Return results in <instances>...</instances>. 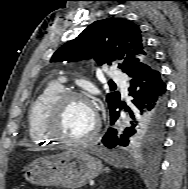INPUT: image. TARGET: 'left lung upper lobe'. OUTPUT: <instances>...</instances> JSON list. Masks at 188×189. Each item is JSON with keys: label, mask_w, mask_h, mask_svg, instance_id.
<instances>
[{"label": "left lung upper lobe", "mask_w": 188, "mask_h": 189, "mask_svg": "<svg viewBox=\"0 0 188 189\" xmlns=\"http://www.w3.org/2000/svg\"><path fill=\"white\" fill-rule=\"evenodd\" d=\"M94 58L99 65L111 64L116 58L124 73L154 59L141 30L134 23L122 18H106L89 25L77 38L65 43L53 55L52 61H77ZM109 109L120 102L119 92L106 97ZM164 124L158 127L139 126L130 137L128 148L146 146L152 152L162 142Z\"/></svg>", "instance_id": "left-lung-upper-lobe-1"}]
</instances>
